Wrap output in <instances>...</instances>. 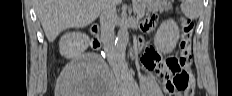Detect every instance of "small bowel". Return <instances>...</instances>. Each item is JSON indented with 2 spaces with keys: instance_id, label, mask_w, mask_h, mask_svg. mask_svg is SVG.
I'll use <instances>...</instances> for the list:
<instances>
[{
  "instance_id": "c3829d8e",
  "label": "small bowel",
  "mask_w": 232,
  "mask_h": 96,
  "mask_svg": "<svg viewBox=\"0 0 232 96\" xmlns=\"http://www.w3.org/2000/svg\"><path fill=\"white\" fill-rule=\"evenodd\" d=\"M160 17L158 16L157 11H148L146 15V20H150L146 22L145 25H141V30H139V35H146V30L148 27H155L156 20ZM154 35L156 32L152 30L150 32ZM133 43H148V38H133ZM141 63L143 68L147 73H151L153 71L157 72L160 76L164 78V68H166V63L161 60V55L156 50L146 51L142 56ZM187 71L190 77V85L194 89L195 83L194 78L191 70V65L187 67Z\"/></svg>"
}]
</instances>
